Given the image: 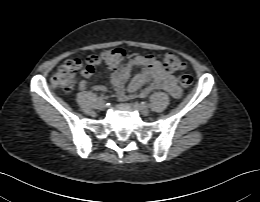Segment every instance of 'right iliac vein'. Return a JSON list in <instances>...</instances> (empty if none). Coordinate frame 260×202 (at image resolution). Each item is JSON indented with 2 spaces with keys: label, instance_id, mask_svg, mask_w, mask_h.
Wrapping results in <instances>:
<instances>
[{
  "label": "right iliac vein",
  "instance_id": "right-iliac-vein-1",
  "mask_svg": "<svg viewBox=\"0 0 260 202\" xmlns=\"http://www.w3.org/2000/svg\"><path fill=\"white\" fill-rule=\"evenodd\" d=\"M98 107L100 110H105L106 109V103L104 101H100L98 104Z\"/></svg>",
  "mask_w": 260,
  "mask_h": 202
}]
</instances>
